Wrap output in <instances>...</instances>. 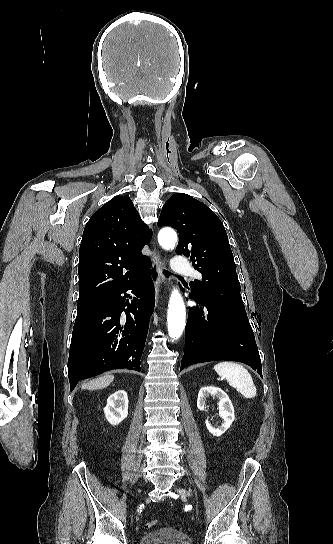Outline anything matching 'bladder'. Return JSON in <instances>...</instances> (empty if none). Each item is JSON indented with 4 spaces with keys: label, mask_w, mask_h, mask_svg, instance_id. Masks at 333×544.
I'll use <instances>...</instances> for the list:
<instances>
[{
    "label": "bladder",
    "mask_w": 333,
    "mask_h": 544,
    "mask_svg": "<svg viewBox=\"0 0 333 544\" xmlns=\"http://www.w3.org/2000/svg\"><path fill=\"white\" fill-rule=\"evenodd\" d=\"M139 544H193L191 538L175 528H163L146 533Z\"/></svg>",
    "instance_id": "1"
}]
</instances>
